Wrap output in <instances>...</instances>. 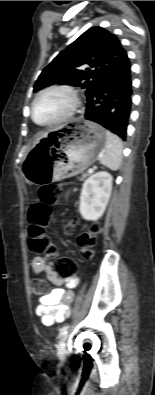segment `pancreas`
<instances>
[{"mask_svg": "<svg viewBox=\"0 0 155 395\" xmlns=\"http://www.w3.org/2000/svg\"><path fill=\"white\" fill-rule=\"evenodd\" d=\"M87 176H88L87 173H83L81 178L84 179V178H86Z\"/></svg>", "mask_w": 155, "mask_h": 395, "instance_id": "1", "label": "pancreas"}]
</instances>
